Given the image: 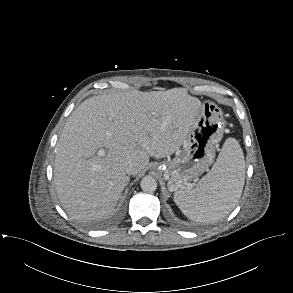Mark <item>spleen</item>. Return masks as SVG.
I'll use <instances>...</instances> for the list:
<instances>
[{"label":"spleen","mask_w":293,"mask_h":293,"mask_svg":"<svg viewBox=\"0 0 293 293\" xmlns=\"http://www.w3.org/2000/svg\"><path fill=\"white\" fill-rule=\"evenodd\" d=\"M245 182V160L238 141L228 138L212 169L193 190L175 192L174 202L196 222H216L235 207Z\"/></svg>","instance_id":"spleen-1"}]
</instances>
